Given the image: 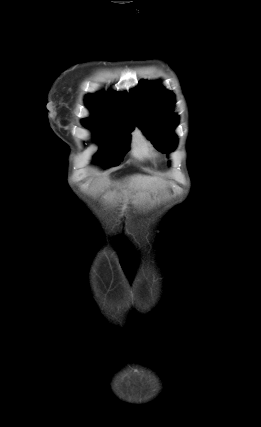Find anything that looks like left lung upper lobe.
<instances>
[{
  "mask_svg": "<svg viewBox=\"0 0 261 427\" xmlns=\"http://www.w3.org/2000/svg\"><path fill=\"white\" fill-rule=\"evenodd\" d=\"M130 98L137 126L159 151L167 153L174 150L177 136L173 130L178 125V116L172 113L175 104L173 93L158 82L143 80L130 91Z\"/></svg>",
  "mask_w": 261,
  "mask_h": 427,
  "instance_id": "1",
  "label": "left lung upper lobe"
}]
</instances>
